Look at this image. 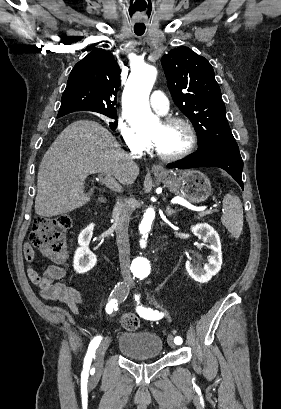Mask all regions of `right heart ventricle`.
Listing matches in <instances>:
<instances>
[{
  "label": "right heart ventricle",
  "instance_id": "e07e8e85",
  "mask_svg": "<svg viewBox=\"0 0 281 409\" xmlns=\"http://www.w3.org/2000/svg\"><path fill=\"white\" fill-rule=\"evenodd\" d=\"M145 148V147H144ZM144 148H142L141 150H139V151H136V152H141V151H143L144 150Z\"/></svg>",
  "mask_w": 281,
  "mask_h": 409
}]
</instances>
